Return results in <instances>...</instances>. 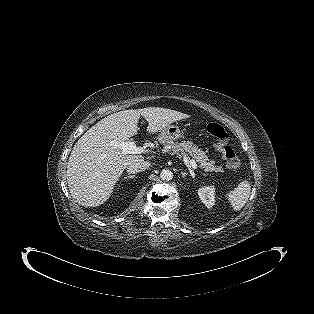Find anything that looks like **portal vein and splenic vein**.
Returning <instances> with one entry per match:
<instances>
[{
  "label": "portal vein and splenic vein",
  "mask_w": 314,
  "mask_h": 314,
  "mask_svg": "<svg viewBox=\"0 0 314 314\" xmlns=\"http://www.w3.org/2000/svg\"><path fill=\"white\" fill-rule=\"evenodd\" d=\"M112 144L115 147L121 148L123 154H142V153L145 154L148 152V150H146L145 147H137L135 142L133 141L122 143L112 141ZM184 162L188 164L190 167H192L194 170L197 169V164L193 159L184 158Z\"/></svg>",
  "instance_id": "obj_1"
}]
</instances>
